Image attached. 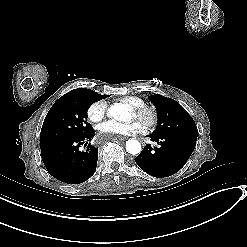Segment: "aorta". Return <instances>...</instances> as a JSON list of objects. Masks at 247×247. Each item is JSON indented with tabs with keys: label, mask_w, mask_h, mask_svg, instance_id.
<instances>
[{
	"label": "aorta",
	"mask_w": 247,
	"mask_h": 247,
	"mask_svg": "<svg viewBox=\"0 0 247 247\" xmlns=\"http://www.w3.org/2000/svg\"><path fill=\"white\" fill-rule=\"evenodd\" d=\"M107 113L110 117L120 121H126L129 117V110L127 106L122 103L111 105ZM126 150L132 155H137L142 150L141 144L135 139H129L126 142Z\"/></svg>",
	"instance_id": "aorta-1"
}]
</instances>
